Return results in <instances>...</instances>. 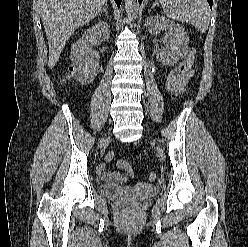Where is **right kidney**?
Returning a JSON list of instances; mask_svg holds the SVG:
<instances>
[{
	"label": "right kidney",
	"mask_w": 248,
	"mask_h": 247,
	"mask_svg": "<svg viewBox=\"0 0 248 247\" xmlns=\"http://www.w3.org/2000/svg\"><path fill=\"white\" fill-rule=\"evenodd\" d=\"M108 31V25L99 21L87 29L71 48L70 59L77 72V78L82 84L91 83L97 76L99 62L92 51V44L101 39H108Z\"/></svg>",
	"instance_id": "obj_1"
}]
</instances>
